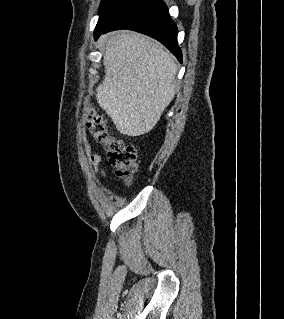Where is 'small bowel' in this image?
<instances>
[{
  "instance_id": "c3829d8e",
  "label": "small bowel",
  "mask_w": 284,
  "mask_h": 319,
  "mask_svg": "<svg viewBox=\"0 0 284 319\" xmlns=\"http://www.w3.org/2000/svg\"><path fill=\"white\" fill-rule=\"evenodd\" d=\"M86 151H87L88 156L90 157V160H91L92 165L95 169V172L99 173L101 176H105L106 170L105 169L99 170V168H98V166L101 162L100 156L93 153L92 147L89 144L86 145Z\"/></svg>"
}]
</instances>
